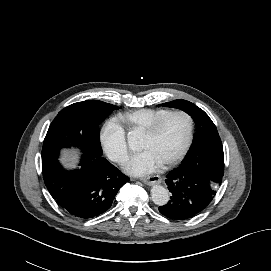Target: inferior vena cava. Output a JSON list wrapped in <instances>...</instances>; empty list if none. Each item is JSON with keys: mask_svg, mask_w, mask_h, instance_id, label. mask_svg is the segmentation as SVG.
<instances>
[{"mask_svg": "<svg viewBox=\"0 0 271 271\" xmlns=\"http://www.w3.org/2000/svg\"><path fill=\"white\" fill-rule=\"evenodd\" d=\"M126 159H127V158H123V159H121V161L124 162Z\"/></svg>", "mask_w": 271, "mask_h": 271, "instance_id": "1", "label": "inferior vena cava"}]
</instances>
